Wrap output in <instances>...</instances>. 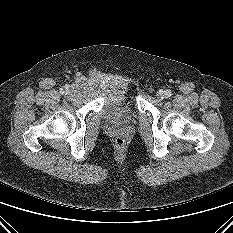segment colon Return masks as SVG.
Instances as JSON below:
<instances>
[{"mask_svg":"<svg viewBox=\"0 0 233 233\" xmlns=\"http://www.w3.org/2000/svg\"><path fill=\"white\" fill-rule=\"evenodd\" d=\"M114 143H115L116 148L118 149H123L126 146V141L122 137H117Z\"/></svg>","mask_w":233,"mask_h":233,"instance_id":"obj_1","label":"colon"}]
</instances>
